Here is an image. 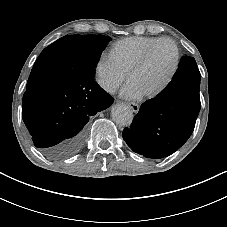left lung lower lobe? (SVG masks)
I'll list each match as a JSON object with an SVG mask.
<instances>
[{
	"instance_id": "0a47b994",
	"label": "left lung lower lobe",
	"mask_w": 227,
	"mask_h": 227,
	"mask_svg": "<svg viewBox=\"0 0 227 227\" xmlns=\"http://www.w3.org/2000/svg\"><path fill=\"white\" fill-rule=\"evenodd\" d=\"M200 72L193 57H182L169 85L141 105L123 138L136 153L160 159L191 136L200 111Z\"/></svg>"
}]
</instances>
